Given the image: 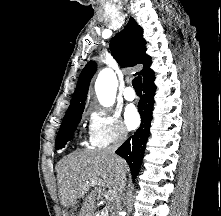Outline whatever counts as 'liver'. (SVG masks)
<instances>
[{"label":"liver","instance_id":"6515ba94","mask_svg":"<svg viewBox=\"0 0 221 216\" xmlns=\"http://www.w3.org/2000/svg\"><path fill=\"white\" fill-rule=\"evenodd\" d=\"M118 159L126 172L127 163L120 157ZM56 170L64 216H95V201L100 187L114 191L116 196L118 180L115 159L105 150L73 152L58 163Z\"/></svg>","mask_w":221,"mask_h":216}]
</instances>
